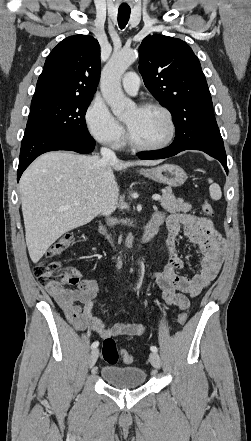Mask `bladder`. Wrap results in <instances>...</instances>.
Listing matches in <instances>:
<instances>
[{
  "label": "bladder",
  "instance_id": "obj_1",
  "mask_svg": "<svg viewBox=\"0 0 251 441\" xmlns=\"http://www.w3.org/2000/svg\"><path fill=\"white\" fill-rule=\"evenodd\" d=\"M101 378L116 388H134L146 382V372L138 367L105 365L100 371Z\"/></svg>",
  "mask_w": 251,
  "mask_h": 441
}]
</instances>
